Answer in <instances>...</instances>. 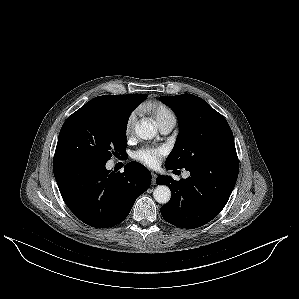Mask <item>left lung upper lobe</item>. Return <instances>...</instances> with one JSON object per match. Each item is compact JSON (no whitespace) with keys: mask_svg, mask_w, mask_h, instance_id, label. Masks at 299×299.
<instances>
[{"mask_svg":"<svg viewBox=\"0 0 299 299\" xmlns=\"http://www.w3.org/2000/svg\"><path fill=\"white\" fill-rule=\"evenodd\" d=\"M159 99L175 112L180 130L165 167L187 169L206 159L236 153L226 119L203 99L192 94Z\"/></svg>","mask_w":299,"mask_h":299,"instance_id":"1","label":"left lung upper lobe"}]
</instances>
